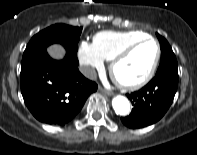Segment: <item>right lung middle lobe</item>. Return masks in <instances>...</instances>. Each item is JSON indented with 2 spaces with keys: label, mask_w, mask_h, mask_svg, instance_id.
Here are the masks:
<instances>
[{
  "label": "right lung middle lobe",
  "mask_w": 197,
  "mask_h": 155,
  "mask_svg": "<svg viewBox=\"0 0 197 155\" xmlns=\"http://www.w3.org/2000/svg\"><path fill=\"white\" fill-rule=\"evenodd\" d=\"M81 32V27L64 24H55L40 31L28 43L22 57L21 67L28 65L40 54L46 52V48L54 43H60L68 53L77 55Z\"/></svg>",
  "instance_id": "obj_1"
}]
</instances>
